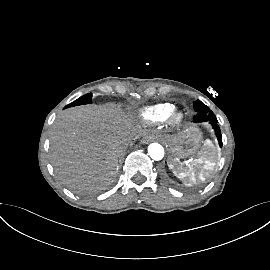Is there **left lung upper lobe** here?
Segmentation results:
<instances>
[{
  "mask_svg": "<svg viewBox=\"0 0 270 270\" xmlns=\"http://www.w3.org/2000/svg\"><path fill=\"white\" fill-rule=\"evenodd\" d=\"M194 109L197 112L196 116H194V122H199L204 118L214 117V113L203 104L200 100L194 102Z\"/></svg>",
  "mask_w": 270,
  "mask_h": 270,
  "instance_id": "obj_1",
  "label": "left lung upper lobe"
}]
</instances>
